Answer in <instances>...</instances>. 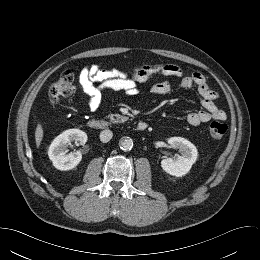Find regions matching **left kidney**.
<instances>
[{
    "mask_svg": "<svg viewBox=\"0 0 260 260\" xmlns=\"http://www.w3.org/2000/svg\"><path fill=\"white\" fill-rule=\"evenodd\" d=\"M167 141L172 148L179 149L181 155H178L175 159H163L161 167L172 176L182 177L190 171L195 163L198 156L197 148L190 141L181 137H171Z\"/></svg>",
    "mask_w": 260,
    "mask_h": 260,
    "instance_id": "5707ae66",
    "label": "left kidney"
}]
</instances>
